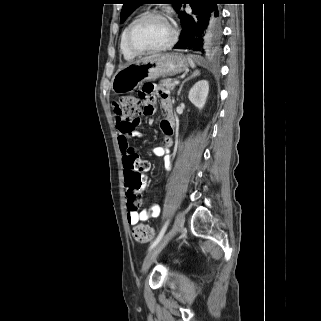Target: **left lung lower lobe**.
I'll list each match as a JSON object with an SVG mask.
<instances>
[{"mask_svg":"<svg viewBox=\"0 0 321 321\" xmlns=\"http://www.w3.org/2000/svg\"><path fill=\"white\" fill-rule=\"evenodd\" d=\"M192 14L177 12L181 21V33L175 49H188L201 55L218 51L222 37V18L218 4L221 0H190Z\"/></svg>","mask_w":321,"mask_h":321,"instance_id":"obj_1","label":"left lung lower lobe"}]
</instances>
